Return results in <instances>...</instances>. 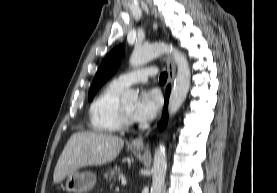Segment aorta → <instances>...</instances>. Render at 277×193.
<instances>
[{"label": "aorta", "instance_id": "1", "mask_svg": "<svg viewBox=\"0 0 277 193\" xmlns=\"http://www.w3.org/2000/svg\"><path fill=\"white\" fill-rule=\"evenodd\" d=\"M164 53H171L177 65V75L168 103L169 117H172L183 104L189 91L191 71L187 58L173 46L163 43H154L145 47H135L130 56L129 63L132 67H140ZM137 98V92L127 90L122 94L121 100L123 102H130L136 101ZM166 170L167 161L165 145L160 143L154 154L151 193H161L165 181Z\"/></svg>", "mask_w": 277, "mask_h": 193}]
</instances>
